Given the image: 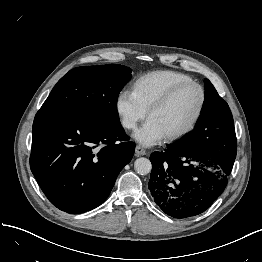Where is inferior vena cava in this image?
I'll return each mask as SVG.
<instances>
[{
  "label": "inferior vena cava",
  "instance_id": "602c4592",
  "mask_svg": "<svg viewBox=\"0 0 262 262\" xmlns=\"http://www.w3.org/2000/svg\"><path fill=\"white\" fill-rule=\"evenodd\" d=\"M124 125L126 127H132L133 123L132 122H124Z\"/></svg>",
  "mask_w": 262,
  "mask_h": 262
}]
</instances>
